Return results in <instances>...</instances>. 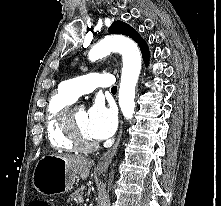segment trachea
Returning a JSON list of instances; mask_svg holds the SVG:
<instances>
[{
    "label": "trachea",
    "instance_id": "1",
    "mask_svg": "<svg viewBox=\"0 0 221 206\" xmlns=\"http://www.w3.org/2000/svg\"><path fill=\"white\" fill-rule=\"evenodd\" d=\"M111 91H117V86H113L112 88H111Z\"/></svg>",
    "mask_w": 221,
    "mask_h": 206
}]
</instances>
